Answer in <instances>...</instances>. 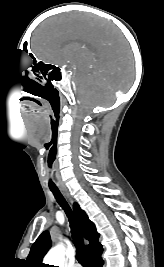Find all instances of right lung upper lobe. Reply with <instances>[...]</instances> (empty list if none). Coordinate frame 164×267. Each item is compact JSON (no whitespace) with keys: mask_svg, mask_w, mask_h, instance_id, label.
I'll return each mask as SVG.
<instances>
[{"mask_svg":"<svg viewBox=\"0 0 164 267\" xmlns=\"http://www.w3.org/2000/svg\"><path fill=\"white\" fill-rule=\"evenodd\" d=\"M73 209L85 239L89 241L86 245L87 257L103 250L102 245L98 242L99 234L96 231L95 225L89 220L86 213L74 203ZM51 247V238L48 231H44L33 244L27 258V263L30 267H43L42 259Z\"/></svg>","mask_w":164,"mask_h":267,"instance_id":"obj_1","label":"right lung upper lobe"}]
</instances>
